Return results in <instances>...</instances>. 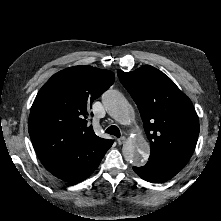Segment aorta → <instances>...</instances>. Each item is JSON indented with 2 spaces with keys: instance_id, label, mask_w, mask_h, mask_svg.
Instances as JSON below:
<instances>
[{
  "instance_id": "aorta-1",
  "label": "aorta",
  "mask_w": 221,
  "mask_h": 221,
  "mask_svg": "<svg viewBox=\"0 0 221 221\" xmlns=\"http://www.w3.org/2000/svg\"><path fill=\"white\" fill-rule=\"evenodd\" d=\"M102 103L108 114L122 125H128L134 110L127 99L117 90L109 89L102 95ZM150 145L143 137H130L122 147L124 159L135 166H141L147 160Z\"/></svg>"
}]
</instances>
